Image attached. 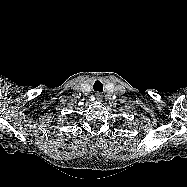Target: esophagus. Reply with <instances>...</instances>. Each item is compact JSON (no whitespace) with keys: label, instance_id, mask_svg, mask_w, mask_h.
I'll return each instance as SVG.
<instances>
[{"label":"esophagus","instance_id":"obj_1","mask_svg":"<svg viewBox=\"0 0 187 187\" xmlns=\"http://www.w3.org/2000/svg\"><path fill=\"white\" fill-rule=\"evenodd\" d=\"M101 97H102V95H101L100 93H97V94H96V98H97L98 100H101Z\"/></svg>","mask_w":187,"mask_h":187}]
</instances>
